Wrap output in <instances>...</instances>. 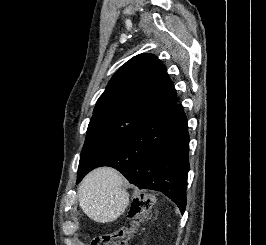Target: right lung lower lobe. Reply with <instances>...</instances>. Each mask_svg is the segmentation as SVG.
<instances>
[{
    "instance_id": "98d812e1",
    "label": "right lung lower lobe",
    "mask_w": 266,
    "mask_h": 245,
    "mask_svg": "<svg viewBox=\"0 0 266 245\" xmlns=\"http://www.w3.org/2000/svg\"><path fill=\"white\" fill-rule=\"evenodd\" d=\"M187 117L175 103L142 119L119 142L97 157L78 177L111 166L139 189L157 190L185 211L189 171Z\"/></svg>"
}]
</instances>
